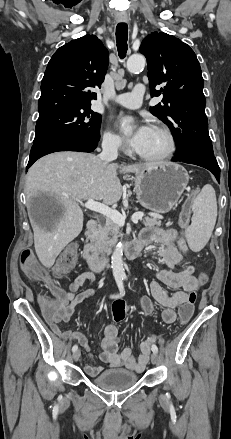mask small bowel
<instances>
[{
  "instance_id": "1",
  "label": "small bowel",
  "mask_w": 231,
  "mask_h": 439,
  "mask_svg": "<svg viewBox=\"0 0 231 439\" xmlns=\"http://www.w3.org/2000/svg\"><path fill=\"white\" fill-rule=\"evenodd\" d=\"M140 240L144 245L157 244L159 246V255L166 268L156 272V280L150 283V293L159 304L165 307L162 312L163 321L168 324L173 323L179 317V304L186 300L189 293H196L204 282L198 281L192 265H187L180 271L173 270V268L182 265L188 254L187 244L175 229L147 228L141 232ZM94 281V273L87 271L78 275L69 284L67 290L60 289L55 317L53 320H48L55 334L62 338L78 340L87 351H89V343L83 333L62 331L59 329L58 324L61 321L68 322L74 314L76 305L96 294V289H87L78 293V290L84 284ZM166 287L175 291L170 293ZM127 309L148 316L154 312L155 307L149 297L142 296L135 304L127 306ZM155 341V335L144 340L140 345L141 354L135 357L130 347L119 350L118 328L115 324H108L103 328L99 359L111 367L123 366L132 371L142 372L149 360L150 346ZM88 357L91 359V354ZM102 370L101 365L85 366V371L90 376H96Z\"/></svg>"
}]
</instances>
